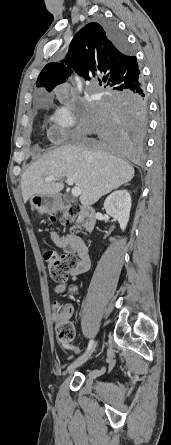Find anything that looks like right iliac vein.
Wrapping results in <instances>:
<instances>
[{
	"label": "right iliac vein",
	"mask_w": 171,
	"mask_h": 445,
	"mask_svg": "<svg viewBox=\"0 0 171 445\" xmlns=\"http://www.w3.org/2000/svg\"><path fill=\"white\" fill-rule=\"evenodd\" d=\"M96 347V342L93 343L92 348L90 349V351L83 356L82 358H79L78 360L74 361L73 363H71L68 368H67V373H72L76 368L80 367L81 365H83L92 355L94 349Z\"/></svg>",
	"instance_id": "right-iliac-vein-1"
}]
</instances>
